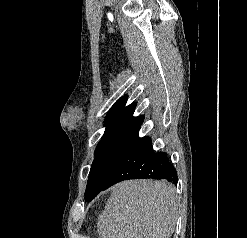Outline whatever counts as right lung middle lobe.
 Listing matches in <instances>:
<instances>
[{
  "instance_id": "1",
  "label": "right lung middle lobe",
  "mask_w": 247,
  "mask_h": 238,
  "mask_svg": "<svg viewBox=\"0 0 247 238\" xmlns=\"http://www.w3.org/2000/svg\"><path fill=\"white\" fill-rule=\"evenodd\" d=\"M143 121H127L111 124L95 150L85 200L91 201L102 191L114 167L138 137Z\"/></svg>"
}]
</instances>
